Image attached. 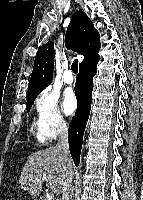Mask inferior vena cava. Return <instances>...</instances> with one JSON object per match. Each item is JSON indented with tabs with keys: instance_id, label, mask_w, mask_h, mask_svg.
I'll return each instance as SVG.
<instances>
[{
	"instance_id": "inferior-vena-cava-1",
	"label": "inferior vena cava",
	"mask_w": 143,
	"mask_h": 200,
	"mask_svg": "<svg viewBox=\"0 0 143 200\" xmlns=\"http://www.w3.org/2000/svg\"><path fill=\"white\" fill-rule=\"evenodd\" d=\"M58 143L56 145L57 149H60L63 154L69 157V146H68V129L65 121H60L58 127ZM72 179L73 176L68 177L62 188V200H70V194L72 192Z\"/></svg>"
}]
</instances>
